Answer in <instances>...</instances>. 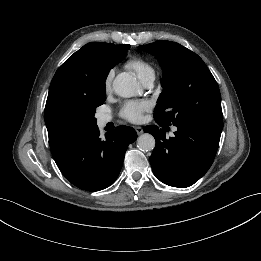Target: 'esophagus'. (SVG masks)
Segmentation results:
<instances>
[{"label": "esophagus", "mask_w": 261, "mask_h": 261, "mask_svg": "<svg viewBox=\"0 0 261 261\" xmlns=\"http://www.w3.org/2000/svg\"><path fill=\"white\" fill-rule=\"evenodd\" d=\"M135 130H136V132H137L138 135H140V134L143 133V128L140 127V126L135 127Z\"/></svg>", "instance_id": "34e87169"}]
</instances>
